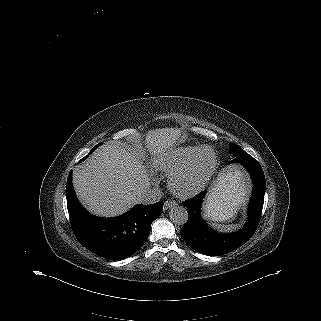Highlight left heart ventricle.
<instances>
[{
	"label": "left heart ventricle",
	"mask_w": 321,
	"mask_h": 321,
	"mask_svg": "<svg viewBox=\"0 0 321 321\" xmlns=\"http://www.w3.org/2000/svg\"><path fill=\"white\" fill-rule=\"evenodd\" d=\"M211 161H212L211 153L209 151L203 152V154L200 157L199 163H198L197 175L192 180L187 182L186 184H191V183H194L195 181H197L199 179V177L208 169Z\"/></svg>",
	"instance_id": "left-heart-ventricle-1"
}]
</instances>
